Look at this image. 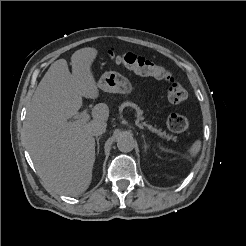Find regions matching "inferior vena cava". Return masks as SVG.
<instances>
[{
	"label": "inferior vena cava",
	"instance_id": "inferior-vena-cava-1",
	"mask_svg": "<svg viewBox=\"0 0 246 246\" xmlns=\"http://www.w3.org/2000/svg\"><path fill=\"white\" fill-rule=\"evenodd\" d=\"M106 131V124L103 122L95 124L91 129V134L93 136L102 135Z\"/></svg>",
	"mask_w": 246,
	"mask_h": 246
}]
</instances>
